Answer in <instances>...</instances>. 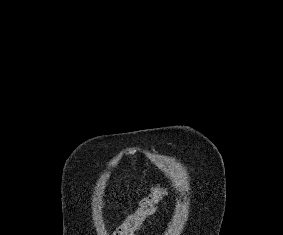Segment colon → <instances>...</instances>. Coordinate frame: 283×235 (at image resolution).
<instances>
[{"label":"colon","mask_w":283,"mask_h":235,"mask_svg":"<svg viewBox=\"0 0 283 235\" xmlns=\"http://www.w3.org/2000/svg\"><path fill=\"white\" fill-rule=\"evenodd\" d=\"M166 190L163 186L158 185L152 189L149 195H147L139 204L137 211L132 216L134 221H138L148 216L158 204V202L165 195Z\"/></svg>","instance_id":"colon-1"}]
</instances>
